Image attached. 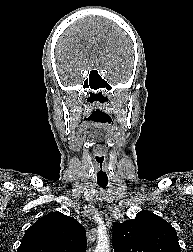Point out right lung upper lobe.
Returning <instances> with one entry per match:
<instances>
[{
  "label": "right lung upper lobe",
  "mask_w": 193,
  "mask_h": 252,
  "mask_svg": "<svg viewBox=\"0 0 193 252\" xmlns=\"http://www.w3.org/2000/svg\"><path fill=\"white\" fill-rule=\"evenodd\" d=\"M85 235L77 220L52 212L26 230L17 252H85Z\"/></svg>",
  "instance_id": "1"
}]
</instances>
